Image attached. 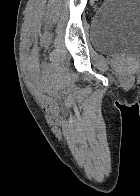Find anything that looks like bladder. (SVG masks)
<instances>
[{
	"label": "bladder",
	"instance_id": "1",
	"mask_svg": "<svg viewBox=\"0 0 140 196\" xmlns=\"http://www.w3.org/2000/svg\"><path fill=\"white\" fill-rule=\"evenodd\" d=\"M90 39L102 53L140 56V0H106L93 16Z\"/></svg>",
	"mask_w": 140,
	"mask_h": 196
}]
</instances>
